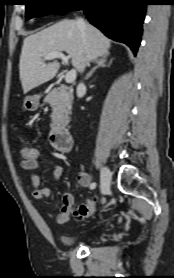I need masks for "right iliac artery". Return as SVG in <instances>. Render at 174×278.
<instances>
[{"mask_svg":"<svg viewBox=\"0 0 174 278\" xmlns=\"http://www.w3.org/2000/svg\"><path fill=\"white\" fill-rule=\"evenodd\" d=\"M96 187V183H93L92 185H91V189H94Z\"/></svg>","mask_w":174,"mask_h":278,"instance_id":"right-iliac-artery-1","label":"right iliac artery"}]
</instances>
